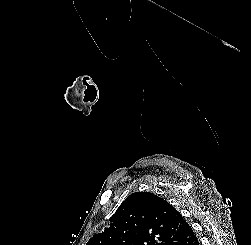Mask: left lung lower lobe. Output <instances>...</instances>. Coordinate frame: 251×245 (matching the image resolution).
<instances>
[{
    "instance_id": "1",
    "label": "left lung lower lobe",
    "mask_w": 251,
    "mask_h": 245,
    "mask_svg": "<svg viewBox=\"0 0 251 245\" xmlns=\"http://www.w3.org/2000/svg\"><path fill=\"white\" fill-rule=\"evenodd\" d=\"M169 245H199V241L192 227L187 224L179 230Z\"/></svg>"
}]
</instances>
